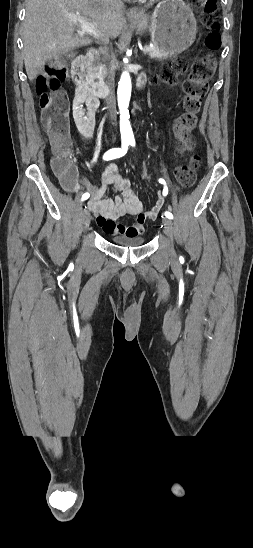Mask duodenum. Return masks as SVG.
I'll return each instance as SVG.
<instances>
[{
	"mask_svg": "<svg viewBox=\"0 0 253 548\" xmlns=\"http://www.w3.org/2000/svg\"><path fill=\"white\" fill-rule=\"evenodd\" d=\"M97 56L98 51L96 49H91L87 53L77 56L71 66V78L79 89L88 92L94 97L105 98L109 96L110 90L107 87L92 81L89 75V66ZM142 84L143 79L140 78L138 80V86H141Z\"/></svg>",
	"mask_w": 253,
	"mask_h": 548,
	"instance_id": "obj_1",
	"label": "duodenum"
}]
</instances>
